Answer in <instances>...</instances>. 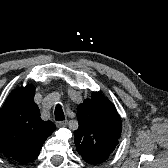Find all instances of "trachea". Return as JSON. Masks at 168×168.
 <instances>
[{
	"mask_svg": "<svg viewBox=\"0 0 168 168\" xmlns=\"http://www.w3.org/2000/svg\"><path fill=\"white\" fill-rule=\"evenodd\" d=\"M55 119L58 121L65 120L63 109L60 104H57L55 107Z\"/></svg>",
	"mask_w": 168,
	"mask_h": 168,
	"instance_id": "1",
	"label": "trachea"
}]
</instances>
